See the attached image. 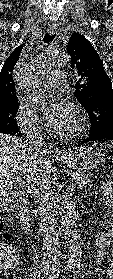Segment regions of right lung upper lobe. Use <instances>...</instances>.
I'll return each instance as SVG.
<instances>
[{"instance_id": "right-lung-upper-lobe-1", "label": "right lung upper lobe", "mask_w": 113, "mask_h": 279, "mask_svg": "<svg viewBox=\"0 0 113 279\" xmlns=\"http://www.w3.org/2000/svg\"><path fill=\"white\" fill-rule=\"evenodd\" d=\"M23 45L16 48L5 61L0 72V109L18 103L12 71L19 60Z\"/></svg>"}]
</instances>
